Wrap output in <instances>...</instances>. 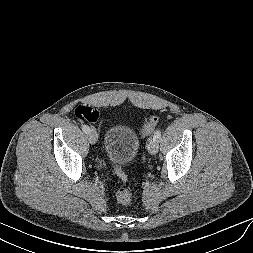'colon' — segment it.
I'll return each mask as SVG.
<instances>
[{
    "label": "colon",
    "mask_w": 253,
    "mask_h": 253,
    "mask_svg": "<svg viewBox=\"0 0 253 253\" xmlns=\"http://www.w3.org/2000/svg\"><path fill=\"white\" fill-rule=\"evenodd\" d=\"M75 116L81 121L92 122L96 118V110L88 106H79L75 110ZM158 123V117L153 115L149 117L142 126L141 133L144 136L150 135ZM115 174L121 180L123 186H121L116 192L117 201L124 205H131L134 201V195L132 191L126 186L128 177L124 169L120 166L114 168Z\"/></svg>",
    "instance_id": "colon-1"
}]
</instances>
